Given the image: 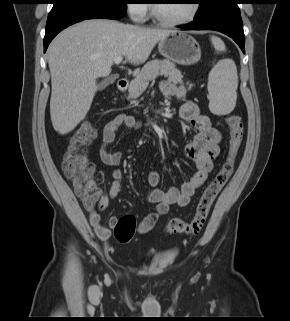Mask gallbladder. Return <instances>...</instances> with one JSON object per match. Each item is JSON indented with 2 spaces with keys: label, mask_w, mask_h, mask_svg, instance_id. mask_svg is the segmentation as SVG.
Wrapping results in <instances>:
<instances>
[{
  "label": "gallbladder",
  "mask_w": 290,
  "mask_h": 321,
  "mask_svg": "<svg viewBox=\"0 0 290 321\" xmlns=\"http://www.w3.org/2000/svg\"><path fill=\"white\" fill-rule=\"evenodd\" d=\"M111 79H106L104 81H102L100 84H99V90H103L105 89V87L108 85V83L110 82Z\"/></svg>",
  "instance_id": "obj_1"
}]
</instances>
